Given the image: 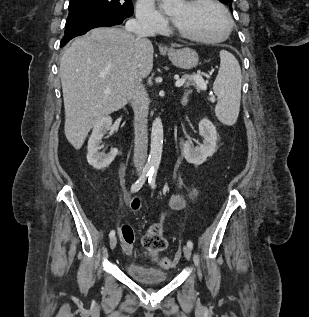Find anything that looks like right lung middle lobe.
<instances>
[{
	"instance_id": "right-lung-middle-lobe-1",
	"label": "right lung middle lobe",
	"mask_w": 309,
	"mask_h": 317,
	"mask_svg": "<svg viewBox=\"0 0 309 317\" xmlns=\"http://www.w3.org/2000/svg\"><path fill=\"white\" fill-rule=\"evenodd\" d=\"M69 12L98 11L123 17H131L133 4L131 0H70Z\"/></svg>"
}]
</instances>
